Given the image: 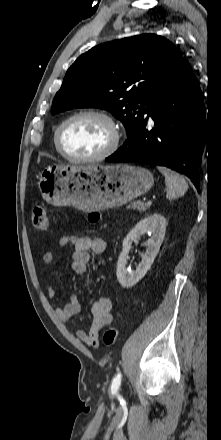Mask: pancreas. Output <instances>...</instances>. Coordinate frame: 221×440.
Here are the masks:
<instances>
[{
	"label": "pancreas",
	"mask_w": 221,
	"mask_h": 440,
	"mask_svg": "<svg viewBox=\"0 0 221 440\" xmlns=\"http://www.w3.org/2000/svg\"><path fill=\"white\" fill-rule=\"evenodd\" d=\"M150 206H151V204L136 201V202L131 203L128 206V208L129 209H137L138 211H146L148 208H150Z\"/></svg>",
	"instance_id": "obj_1"
}]
</instances>
